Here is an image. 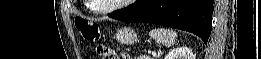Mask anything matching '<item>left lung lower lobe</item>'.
I'll use <instances>...</instances> for the list:
<instances>
[{"label":"left lung lower lobe","instance_id":"1","mask_svg":"<svg viewBox=\"0 0 261 59\" xmlns=\"http://www.w3.org/2000/svg\"><path fill=\"white\" fill-rule=\"evenodd\" d=\"M213 0H137L110 14L127 22H149L199 36L205 44L211 33Z\"/></svg>","mask_w":261,"mask_h":59}]
</instances>
